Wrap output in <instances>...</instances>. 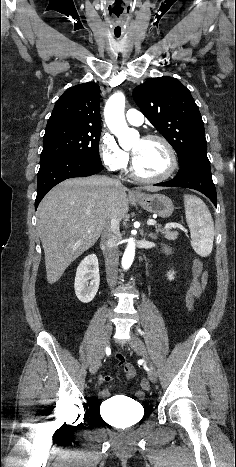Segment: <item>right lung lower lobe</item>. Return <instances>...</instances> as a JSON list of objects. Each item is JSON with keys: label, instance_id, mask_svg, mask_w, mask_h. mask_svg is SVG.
<instances>
[{"label": "right lung lower lobe", "instance_id": "1", "mask_svg": "<svg viewBox=\"0 0 236 467\" xmlns=\"http://www.w3.org/2000/svg\"><path fill=\"white\" fill-rule=\"evenodd\" d=\"M103 168L102 164H96L71 155H60L41 161L38 172L35 208L37 209L46 193L63 180L94 175L103 170Z\"/></svg>", "mask_w": 236, "mask_h": 467}]
</instances>
